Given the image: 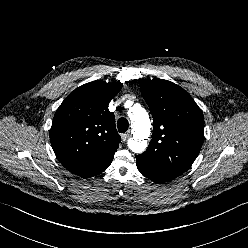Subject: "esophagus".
<instances>
[{"label": "esophagus", "instance_id": "34e87169", "mask_svg": "<svg viewBox=\"0 0 248 248\" xmlns=\"http://www.w3.org/2000/svg\"><path fill=\"white\" fill-rule=\"evenodd\" d=\"M129 136H130L129 133H124L121 135V138L123 141H126L129 138Z\"/></svg>", "mask_w": 248, "mask_h": 248}]
</instances>
